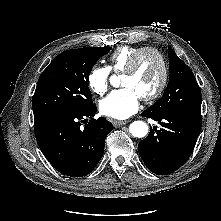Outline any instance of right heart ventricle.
<instances>
[{
    "label": "right heart ventricle",
    "instance_id": "right-heart-ventricle-1",
    "mask_svg": "<svg viewBox=\"0 0 221 221\" xmlns=\"http://www.w3.org/2000/svg\"><path fill=\"white\" fill-rule=\"evenodd\" d=\"M144 47L121 46L110 56L108 69L114 73H123L133 55Z\"/></svg>",
    "mask_w": 221,
    "mask_h": 221
}]
</instances>
